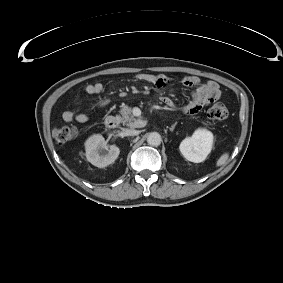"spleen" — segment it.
<instances>
[{"label":"spleen","instance_id":"1","mask_svg":"<svg viewBox=\"0 0 283 283\" xmlns=\"http://www.w3.org/2000/svg\"><path fill=\"white\" fill-rule=\"evenodd\" d=\"M228 158H229V153L227 152L223 153L217 160L216 166L219 167V166L224 165L226 161L228 160Z\"/></svg>","mask_w":283,"mask_h":283}]
</instances>
